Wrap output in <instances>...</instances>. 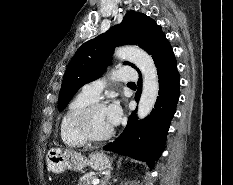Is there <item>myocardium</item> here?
Returning a JSON list of instances; mask_svg holds the SVG:
<instances>
[{
    "instance_id": "myocardium-1",
    "label": "myocardium",
    "mask_w": 233,
    "mask_h": 185,
    "mask_svg": "<svg viewBox=\"0 0 233 185\" xmlns=\"http://www.w3.org/2000/svg\"><path fill=\"white\" fill-rule=\"evenodd\" d=\"M97 108H105V105L99 101H92L82 109L76 120V127L79 135L86 141L91 143H99L110 139L114 134V128L103 136H95L91 133L89 127V118L92 112Z\"/></svg>"
}]
</instances>
